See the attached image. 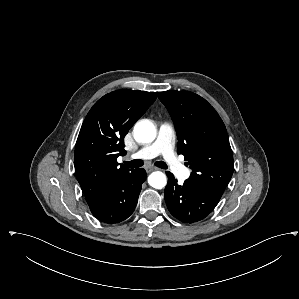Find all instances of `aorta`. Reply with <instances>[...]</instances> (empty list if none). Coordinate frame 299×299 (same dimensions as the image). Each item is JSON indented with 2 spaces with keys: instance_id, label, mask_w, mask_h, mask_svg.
Here are the masks:
<instances>
[{
  "instance_id": "762f6f07",
  "label": "aorta",
  "mask_w": 299,
  "mask_h": 299,
  "mask_svg": "<svg viewBox=\"0 0 299 299\" xmlns=\"http://www.w3.org/2000/svg\"><path fill=\"white\" fill-rule=\"evenodd\" d=\"M156 137L155 126L148 120L137 122L134 126V138L140 143H150ZM148 183L155 189H162L167 184L164 173L160 171L153 172L148 177Z\"/></svg>"
}]
</instances>
